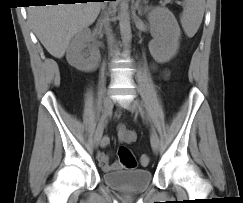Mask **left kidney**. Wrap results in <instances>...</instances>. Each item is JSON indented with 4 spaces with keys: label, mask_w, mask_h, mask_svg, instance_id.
I'll use <instances>...</instances> for the list:
<instances>
[{
    "label": "left kidney",
    "mask_w": 243,
    "mask_h": 203,
    "mask_svg": "<svg viewBox=\"0 0 243 203\" xmlns=\"http://www.w3.org/2000/svg\"><path fill=\"white\" fill-rule=\"evenodd\" d=\"M153 39L149 50L158 63H166L176 56L181 36L174 15L166 8L157 7L148 14Z\"/></svg>",
    "instance_id": "left-kidney-1"
}]
</instances>
